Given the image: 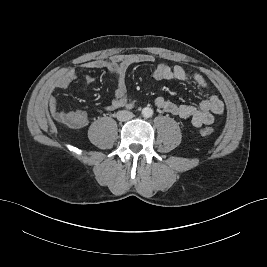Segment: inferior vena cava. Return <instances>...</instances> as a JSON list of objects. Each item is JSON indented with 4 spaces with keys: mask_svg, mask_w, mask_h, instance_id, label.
Returning <instances> with one entry per match:
<instances>
[{
    "mask_svg": "<svg viewBox=\"0 0 267 267\" xmlns=\"http://www.w3.org/2000/svg\"><path fill=\"white\" fill-rule=\"evenodd\" d=\"M116 116L119 121H128L134 117V114L130 111L122 110V111L117 112Z\"/></svg>",
    "mask_w": 267,
    "mask_h": 267,
    "instance_id": "602c4592",
    "label": "inferior vena cava"
}]
</instances>
